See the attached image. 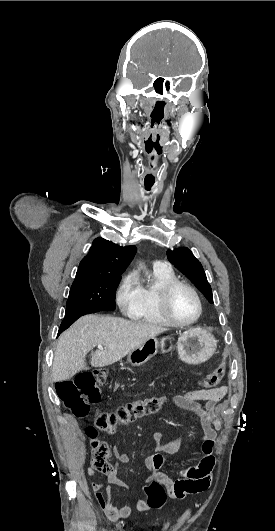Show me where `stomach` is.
<instances>
[{"instance_id": "0dacf381", "label": "stomach", "mask_w": 275, "mask_h": 531, "mask_svg": "<svg viewBox=\"0 0 275 531\" xmlns=\"http://www.w3.org/2000/svg\"><path fill=\"white\" fill-rule=\"evenodd\" d=\"M172 349L173 339L171 337H162V339L151 337L136 349H132L128 353L127 361L132 367H141L154 355H157L158 351L170 353ZM216 349L217 341L214 335L204 331V329H188L183 335H180L177 341L179 359L187 365L206 363L208 359L213 357Z\"/></svg>"}]
</instances>
